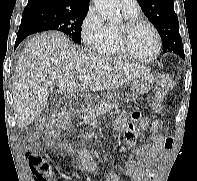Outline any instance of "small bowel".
<instances>
[{
	"mask_svg": "<svg viewBox=\"0 0 197 181\" xmlns=\"http://www.w3.org/2000/svg\"><path fill=\"white\" fill-rule=\"evenodd\" d=\"M142 122L140 112H135L130 122L126 118H119L116 121V128L124 131V141L127 145H134L136 132ZM150 129L151 134L147 143L135 148L134 159L129 160L125 165V173L133 181H154L157 178V172L164 154L170 148V138L161 133L162 122L160 120L152 121ZM30 139H36V134H32ZM44 142L48 147L57 148L68 153L74 152V148L66 142H56L51 138H46ZM28 160L31 169L36 173L34 181H56L55 174L51 171L50 165L44 157L31 152L28 154ZM76 165L79 170L98 176L103 181H119L118 174L101 172L86 149L78 153Z\"/></svg>",
	"mask_w": 197,
	"mask_h": 181,
	"instance_id": "small-bowel-1",
	"label": "small bowel"
}]
</instances>
